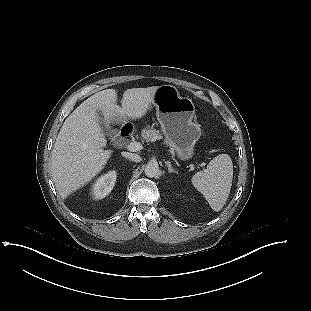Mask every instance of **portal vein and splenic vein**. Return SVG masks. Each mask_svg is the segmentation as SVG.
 Listing matches in <instances>:
<instances>
[{
    "mask_svg": "<svg viewBox=\"0 0 311 311\" xmlns=\"http://www.w3.org/2000/svg\"><path fill=\"white\" fill-rule=\"evenodd\" d=\"M127 149L129 151L136 152L142 149V145L139 142H131L127 145ZM200 166L203 167L204 164H201Z\"/></svg>",
    "mask_w": 311,
    "mask_h": 311,
    "instance_id": "18ae733b",
    "label": "portal vein and splenic vein"
}]
</instances>
